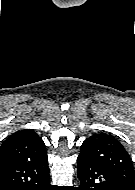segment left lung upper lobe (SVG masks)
<instances>
[{
  "instance_id": "1",
  "label": "left lung upper lobe",
  "mask_w": 135,
  "mask_h": 190,
  "mask_svg": "<svg viewBox=\"0 0 135 190\" xmlns=\"http://www.w3.org/2000/svg\"><path fill=\"white\" fill-rule=\"evenodd\" d=\"M79 157L106 166L135 190V170L131 158L114 136L106 133L92 135L82 143Z\"/></svg>"
}]
</instances>
